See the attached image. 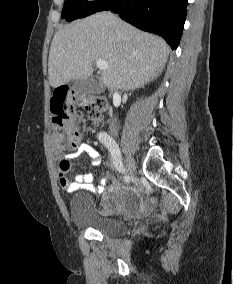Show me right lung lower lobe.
<instances>
[{
	"instance_id": "obj_1",
	"label": "right lung lower lobe",
	"mask_w": 233,
	"mask_h": 284,
	"mask_svg": "<svg viewBox=\"0 0 233 284\" xmlns=\"http://www.w3.org/2000/svg\"><path fill=\"white\" fill-rule=\"evenodd\" d=\"M188 0H106L96 12L111 10L137 28L161 35L176 49Z\"/></svg>"
}]
</instances>
